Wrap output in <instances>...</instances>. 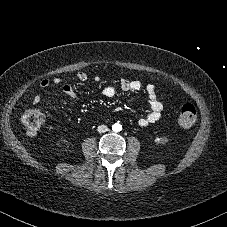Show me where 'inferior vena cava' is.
Masks as SVG:
<instances>
[{
	"label": "inferior vena cava",
	"mask_w": 227,
	"mask_h": 227,
	"mask_svg": "<svg viewBox=\"0 0 227 227\" xmlns=\"http://www.w3.org/2000/svg\"><path fill=\"white\" fill-rule=\"evenodd\" d=\"M97 131L99 133H105L108 131V127L106 125H100V126H98Z\"/></svg>",
	"instance_id": "602c4592"
}]
</instances>
